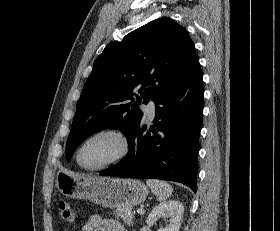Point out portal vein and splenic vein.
<instances>
[{"label":"portal vein and splenic vein","mask_w":280,"mask_h":231,"mask_svg":"<svg viewBox=\"0 0 280 231\" xmlns=\"http://www.w3.org/2000/svg\"><path fill=\"white\" fill-rule=\"evenodd\" d=\"M139 213H144V209H139Z\"/></svg>","instance_id":"1"}]
</instances>
